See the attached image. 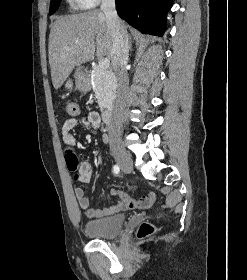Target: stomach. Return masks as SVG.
<instances>
[{
	"label": "stomach",
	"instance_id": "1",
	"mask_svg": "<svg viewBox=\"0 0 247 280\" xmlns=\"http://www.w3.org/2000/svg\"><path fill=\"white\" fill-rule=\"evenodd\" d=\"M74 78H75V85L76 88L79 89L80 91L86 92L90 89V82L89 79L85 76L84 72L82 71L81 67H79L75 74H74ZM73 86V82L72 80H68L65 84V87L67 89H72Z\"/></svg>",
	"mask_w": 247,
	"mask_h": 280
}]
</instances>
